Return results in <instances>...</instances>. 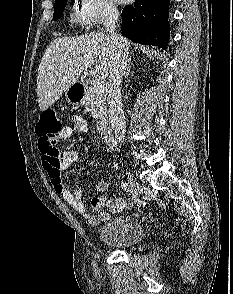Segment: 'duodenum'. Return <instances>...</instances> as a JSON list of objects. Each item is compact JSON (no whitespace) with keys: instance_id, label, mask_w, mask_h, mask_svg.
Returning a JSON list of instances; mask_svg holds the SVG:
<instances>
[{"instance_id":"duodenum-1","label":"duodenum","mask_w":233,"mask_h":294,"mask_svg":"<svg viewBox=\"0 0 233 294\" xmlns=\"http://www.w3.org/2000/svg\"><path fill=\"white\" fill-rule=\"evenodd\" d=\"M74 93L77 96H81L83 94V86L80 84L75 85ZM101 137H102V140L104 141V143L107 144L108 146H115L116 139H115L113 132L110 129L104 128L101 132Z\"/></svg>"}]
</instances>
